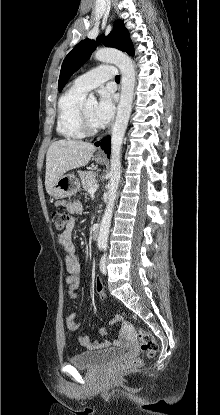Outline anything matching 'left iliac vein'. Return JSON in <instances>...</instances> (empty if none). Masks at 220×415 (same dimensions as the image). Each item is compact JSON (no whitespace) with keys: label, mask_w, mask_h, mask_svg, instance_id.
<instances>
[{"label":"left iliac vein","mask_w":220,"mask_h":415,"mask_svg":"<svg viewBox=\"0 0 220 415\" xmlns=\"http://www.w3.org/2000/svg\"><path fill=\"white\" fill-rule=\"evenodd\" d=\"M100 270L103 274L107 273V256L104 254L100 261Z\"/></svg>","instance_id":"4c4485c4"}]
</instances>
